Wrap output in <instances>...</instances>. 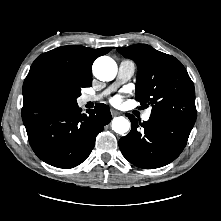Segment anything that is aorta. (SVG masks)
<instances>
[{
  "label": "aorta",
  "instance_id": "1",
  "mask_svg": "<svg viewBox=\"0 0 221 221\" xmlns=\"http://www.w3.org/2000/svg\"><path fill=\"white\" fill-rule=\"evenodd\" d=\"M93 73L99 80L111 81L117 74L116 62L107 56L99 57L93 64ZM112 129L119 134L126 133L130 129V122L125 117H115Z\"/></svg>",
  "mask_w": 221,
  "mask_h": 221
}]
</instances>
